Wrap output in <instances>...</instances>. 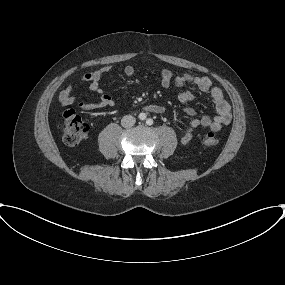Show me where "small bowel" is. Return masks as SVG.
Returning <instances> with one entry per match:
<instances>
[{"label":"small bowel","mask_w":285,"mask_h":285,"mask_svg":"<svg viewBox=\"0 0 285 285\" xmlns=\"http://www.w3.org/2000/svg\"><path fill=\"white\" fill-rule=\"evenodd\" d=\"M109 71V67L88 72L82 76L81 81L88 83L90 92L97 96V100L90 102H80L79 108L85 111H90L100 107H113L115 102L110 95H107L99 86V81L102 76ZM124 73L127 76H132L135 73V67L127 65L124 68ZM160 83L165 89H181L185 84H191L198 90L208 93L216 108V115L214 117L203 116L201 118L193 119L188 128L182 133L180 141L183 145H188L194 138V132L199 129H210L212 131H219L223 126L228 125L231 121V107L224 98L223 92L217 86H213L211 79L208 76H198L190 73L182 75H174L170 70L163 69L160 72ZM74 86L69 85L59 94V102L63 107L70 106L76 102L74 95ZM178 98L182 102H187L194 98V93L190 90L180 91ZM146 110L152 113L161 114L165 111L164 106L159 104H151L146 106ZM183 111L195 116L197 112L192 108H184Z\"/></svg>","instance_id":"1"}]
</instances>
